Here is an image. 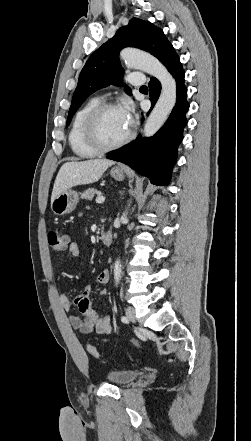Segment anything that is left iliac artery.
<instances>
[{"label":"left iliac artery","instance_id":"1","mask_svg":"<svg viewBox=\"0 0 251 441\" xmlns=\"http://www.w3.org/2000/svg\"><path fill=\"white\" fill-rule=\"evenodd\" d=\"M121 321H122L123 323H128V322H129V320H128V318H127L126 316H122V317H121Z\"/></svg>","mask_w":251,"mask_h":441}]
</instances>
